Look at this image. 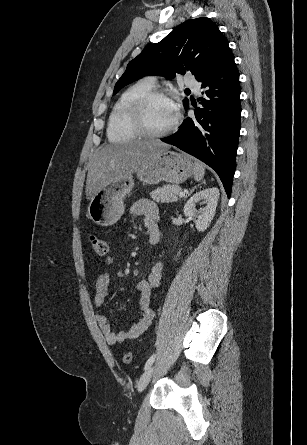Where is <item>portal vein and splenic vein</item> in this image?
Instances as JSON below:
<instances>
[{"label":"portal vein and splenic vein","instance_id":"portal-vein-and-splenic-vein-1","mask_svg":"<svg viewBox=\"0 0 307 445\" xmlns=\"http://www.w3.org/2000/svg\"><path fill=\"white\" fill-rule=\"evenodd\" d=\"M179 196H185V192H179Z\"/></svg>","mask_w":307,"mask_h":445}]
</instances>
